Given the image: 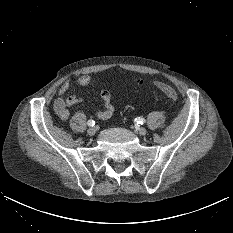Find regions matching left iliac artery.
<instances>
[{
    "label": "left iliac artery",
    "mask_w": 233,
    "mask_h": 233,
    "mask_svg": "<svg viewBox=\"0 0 233 233\" xmlns=\"http://www.w3.org/2000/svg\"><path fill=\"white\" fill-rule=\"evenodd\" d=\"M135 121L138 123V124H144L146 122V120L144 118H136Z\"/></svg>",
    "instance_id": "44dca946"
}]
</instances>
